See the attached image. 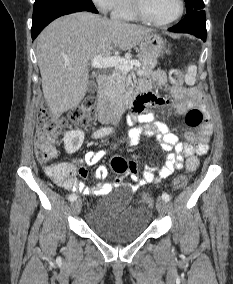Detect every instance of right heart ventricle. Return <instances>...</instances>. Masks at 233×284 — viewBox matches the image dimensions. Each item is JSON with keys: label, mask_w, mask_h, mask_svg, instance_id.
<instances>
[{"label": "right heart ventricle", "mask_w": 233, "mask_h": 284, "mask_svg": "<svg viewBox=\"0 0 233 284\" xmlns=\"http://www.w3.org/2000/svg\"><path fill=\"white\" fill-rule=\"evenodd\" d=\"M112 16L118 20L136 21L138 16L135 14L131 0H118L112 10Z\"/></svg>", "instance_id": "right-heart-ventricle-1"}]
</instances>
